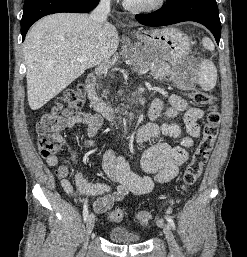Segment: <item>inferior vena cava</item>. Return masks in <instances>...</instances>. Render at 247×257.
<instances>
[{
  "instance_id": "602c4592",
  "label": "inferior vena cava",
  "mask_w": 247,
  "mask_h": 257,
  "mask_svg": "<svg viewBox=\"0 0 247 257\" xmlns=\"http://www.w3.org/2000/svg\"><path fill=\"white\" fill-rule=\"evenodd\" d=\"M110 13V0H100L98 6L92 11L90 18L100 24H104Z\"/></svg>"
}]
</instances>
